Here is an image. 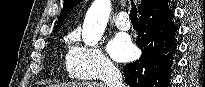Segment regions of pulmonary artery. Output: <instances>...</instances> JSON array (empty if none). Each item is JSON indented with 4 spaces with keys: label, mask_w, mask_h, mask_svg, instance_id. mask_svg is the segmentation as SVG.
<instances>
[{
    "label": "pulmonary artery",
    "mask_w": 205,
    "mask_h": 87,
    "mask_svg": "<svg viewBox=\"0 0 205 87\" xmlns=\"http://www.w3.org/2000/svg\"><path fill=\"white\" fill-rule=\"evenodd\" d=\"M115 26L120 30H129L130 22L128 21V16L126 12H120L115 19Z\"/></svg>",
    "instance_id": "obj_1"
}]
</instances>
